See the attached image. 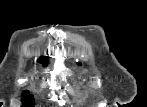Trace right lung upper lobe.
<instances>
[{
  "label": "right lung upper lobe",
  "instance_id": "cb5924a9",
  "mask_svg": "<svg viewBox=\"0 0 147 107\" xmlns=\"http://www.w3.org/2000/svg\"><path fill=\"white\" fill-rule=\"evenodd\" d=\"M38 62L42 63L43 65H46L47 64V59L45 57H40Z\"/></svg>",
  "mask_w": 147,
  "mask_h": 107
}]
</instances>
